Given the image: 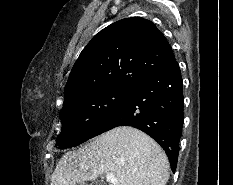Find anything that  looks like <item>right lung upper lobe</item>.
Instances as JSON below:
<instances>
[{"label":"right lung upper lobe","mask_w":233,"mask_h":185,"mask_svg":"<svg viewBox=\"0 0 233 185\" xmlns=\"http://www.w3.org/2000/svg\"><path fill=\"white\" fill-rule=\"evenodd\" d=\"M174 61L171 46L151 21L122 19L101 30L82 50L64 89V105L103 89H131Z\"/></svg>","instance_id":"right-lung-upper-lobe-1"}]
</instances>
